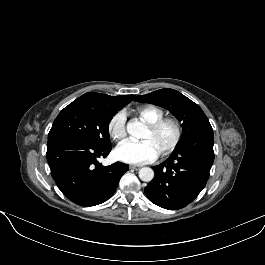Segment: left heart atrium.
<instances>
[{
    "label": "left heart atrium",
    "instance_id": "1",
    "mask_svg": "<svg viewBox=\"0 0 265 265\" xmlns=\"http://www.w3.org/2000/svg\"><path fill=\"white\" fill-rule=\"evenodd\" d=\"M158 152L150 141L134 142L126 140L115 149V157L129 164H142L154 161Z\"/></svg>",
    "mask_w": 265,
    "mask_h": 265
}]
</instances>
